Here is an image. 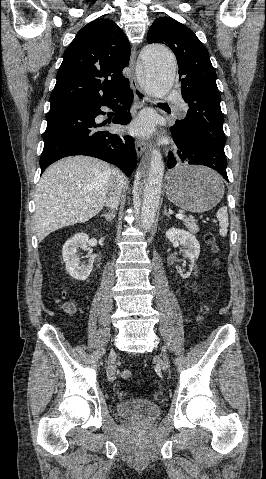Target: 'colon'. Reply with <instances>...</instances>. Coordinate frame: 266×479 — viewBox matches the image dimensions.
I'll return each instance as SVG.
<instances>
[{
	"mask_svg": "<svg viewBox=\"0 0 266 479\" xmlns=\"http://www.w3.org/2000/svg\"><path fill=\"white\" fill-rule=\"evenodd\" d=\"M206 240L209 242V243H213L214 242V236L213 234L211 233H208L206 235ZM203 312L205 311V308H203L202 310ZM120 377L123 379V380H129L131 379L132 377V372L128 369H125V370H122L121 373H120Z\"/></svg>",
	"mask_w": 266,
	"mask_h": 479,
	"instance_id": "5ec220e1",
	"label": "colon"
}]
</instances>
